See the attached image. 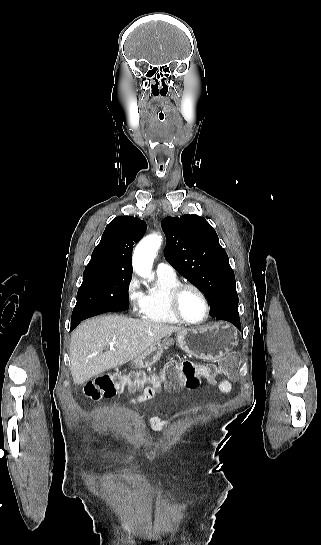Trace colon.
Wrapping results in <instances>:
<instances>
[{
    "label": "colon",
    "mask_w": 321,
    "mask_h": 545,
    "mask_svg": "<svg viewBox=\"0 0 321 545\" xmlns=\"http://www.w3.org/2000/svg\"><path fill=\"white\" fill-rule=\"evenodd\" d=\"M237 365V356L229 355L221 361L219 371L227 379H234L236 377ZM165 376V387L170 391H177L183 387L195 389L200 385L201 378L203 377L210 382H215L217 369L211 366H199L191 361H184L179 368L169 366ZM143 384L144 378L141 375L121 377L115 374H102L85 385L84 393L89 399L99 401L103 398L115 396L126 387L130 390H136L142 387ZM154 386L155 388H159V385L156 383Z\"/></svg>",
    "instance_id": "obj_1"
}]
</instances>
